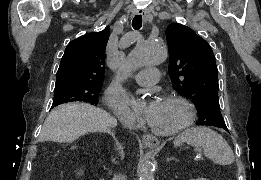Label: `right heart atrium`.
I'll list each match as a JSON object with an SVG mask.
<instances>
[{
    "label": "right heart atrium",
    "mask_w": 261,
    "mask_h": 180,
    "mask_svg": "<svg viewBox=\"0 0 261 180\" xmlns=\"http://www.w3.org/2000/svg\"><path fill=\"white\" fill-rule=\"evenodd\" d=\"M103 104L106 108H111V112L118 114V117L125 116L130 119L126 99L121 98V94L117 93L113 87L110 86L105 90Z\"/></svg>",
    "instance_id": "obj_1"
}]
</instances>
